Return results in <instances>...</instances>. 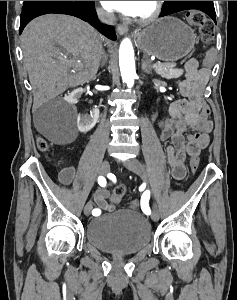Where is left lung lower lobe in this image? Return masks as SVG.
<instances>
[{"label": "left lung lower lobe", "instance_id": "0a47b994", "mask_svg": "<svg viewBox=\"0 0 237 300\" xmlns=\"http://www.w3.org/2000/svg\"><path fill=\"white\" fill-rule=\"evenodd\" d=\"M196 9L210 16L216 24V13L213 1H189L172 5L167 11H164L161 16H166L175 12Z\"/></svg>", "mask_w": 237, "mask_h": 300}]
</instances>
